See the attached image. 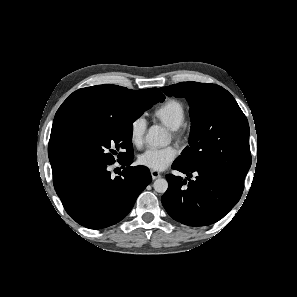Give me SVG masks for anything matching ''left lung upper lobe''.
Instances as JSON below:
<instances>
[{
    "label": "left lung upper lobe",
    "instance_id": "5c2ea615",
    "mask_svg": "<svg viewBox=\"0 0 297 297\" xmlns=\"http://www.w3.org/2000/svg\"><path fill=\"white\" fill-rule=\"evenodd\" d=\"M161 90L190 104L191 135L175 160L186 169L219 172L239 182L251 166L249 124L233 96L221 86L181 82Z\"/></svg>",
    "mask_w": 297,
    "mask_h": 297
}]
</instances>
